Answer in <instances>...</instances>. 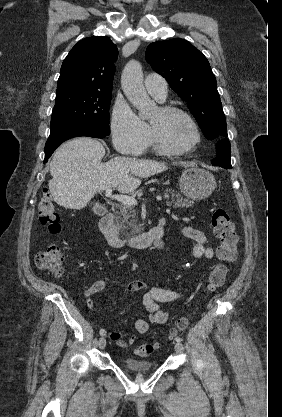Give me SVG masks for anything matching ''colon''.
Instances as JSON below:
<instances>
[{"instance_id": "5ec220e1", "label": "colon", "mask_w": 282, "mask_h": 417, "mask_svg": "<svg viewBox=\"0 0 282 417\" xmlns=\"http://www.w3.org/2000/svg\"><path fill=\"white\" fill-rule=\"evenodd\" d=\"M38 207L41 224L46 227L49 233H59L62 228L61 220L48 188L43 189ZM210 223L220 241L219 256L227 262H233L237 256L239 238L227 211L223 208L214 209L211 213ZM35 263L39 269L51 273L54 277H61L64 273V256L56 246H50L47 250L40 252L36 256ZM226 276L227 268L223 265H216L208 278L207 289L215 291L220 288ZM187 324L188 320L183 318L178 322L177 328L183 329ZM179 330H170V339H179ZM152 351L153 347L150 345L149 347H141L139 353L141 356H151Z\"/></svg>"}]
</instances>
